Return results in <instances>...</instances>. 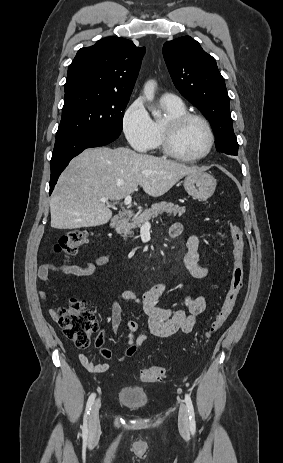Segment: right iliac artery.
Segmentation results:
<instances>
[{"label":"right iliac artery","instance_id":"obj_1","mask_svg":"<svg viewBox=\"0 0 283 463\" xmlns=\"http://www.w3.org/2000/svg\"><path fill=\"white\" fill-rule=\"evenodd\" d=\"M95 397H96V394L92 393L89 396L88 401H87L86 410H85V414H84V420H83V427H82V432H83V437L84 438H86L87 435H88L87 419H88V414H89V412L91 410V407H92V405L94 403Z\"/></svg>","mask_w":283,"mask_h":463}]
</instances>
